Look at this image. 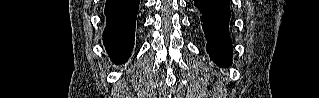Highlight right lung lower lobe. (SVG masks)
Returning <instances> with one entry per match:
<instances>
[{"instance_id":"1","label":"right lung lower lobe","mask_w":319,"mask_h":98,"mask_svg":"<svg viewBox=\"0 0 319 98\" xmlns=\"http://www.w3.org/2000/svg\"><path fill=\"white\" fill-rule=\"evenodd\" d=\"M138 9L139 0L106 1L103 42L106 51L116 64L124 63L131 54Z\"/></svg>"}]
</instances>
